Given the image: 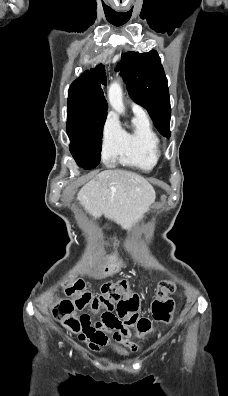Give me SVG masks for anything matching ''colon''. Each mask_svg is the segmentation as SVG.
<instances>
[{
	"instance_id": "5ec220e1",
	"label": "colon",
	"mask_w": 228,
	"mask_h": 396,
	"mask_svg": "<svg viewBox=\"0 0 228 396\" xmlns=\"http://www.w3.org/2000/svg\"><path fill=\"white\" fill-rule=\"evenodd\" d=\"M66 293L73 296V300H61L53 307V316L73 331H80L90 324L88 314L75 316V310L90 308L93 313L101 312V320L96 326L110 329L136 327L140 335L152 331V322L148 318L139 317V296L133 292L126 280L105 283L99 295H93L85 290L84 282L76 277H69L65 281ZM174 290L170 280L159 283L157 296L152 303V317L157 322L168 323L174 312V301L169 294ZM116 313L112 310L115 306Z\"/></svg>"
}]
</instances>
